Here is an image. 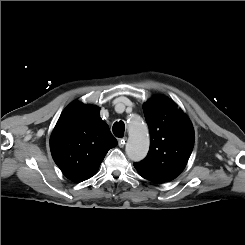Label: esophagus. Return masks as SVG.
Wrapping results in <instances>:
<instances>
[{
  "instance_id": "esophagus-1",
  "label": "esophagus",
  "mask_w": 245,
  "mask_h": 245,
  "mask_svg": "<svg viewBox=\"0 0 245 245\" xmlns=\"http://www.w3.org/2000/svg\"><path fill=\"white\" fill-rule=\"evenodd\" d=\"M126 141H127V137H123L121 138L119 141H118V145L120 148H123L126 144Z\"/></svg>"
}]
</instances>
